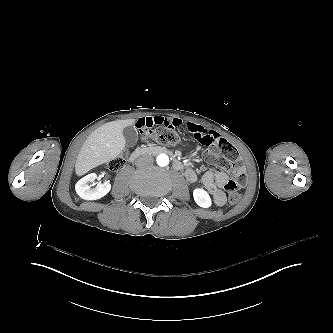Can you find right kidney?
I'll return each instance as SVG.
<instances>
[{
	"label": "right kidney",
	"instance_id": "right-kidney-1",
	"mask_svg": "<svg viewBox=\"0 0 333 333\" xmlns=\"http://www.w3.org/2000/svg\"><path fill=\"white\" fill-rule=\"evenodd\" d=\"M98 179L97 173H91L81 178L75 185V191L78 196L84 200H98L107 195L111 190L108 181L99 182L96 188L90 185V182Z\"/></svg>",
	"mask_w": 333,
	"mask_h": 333
}]
</instances>
